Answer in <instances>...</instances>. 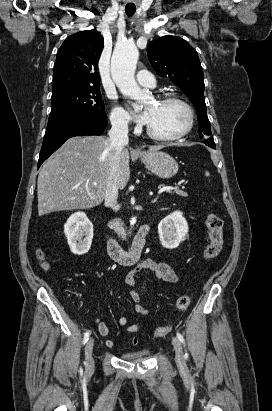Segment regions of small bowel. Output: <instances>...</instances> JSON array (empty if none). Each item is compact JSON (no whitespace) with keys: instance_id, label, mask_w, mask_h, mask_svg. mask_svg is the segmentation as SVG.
I'll return each mask as SVG.
<instances>
[{"instance_id":"obj_1","label":"small bowel","mask_w":272,"mask_h":411,"mask_svg":"<svg viewBox=\"0 0 272 411\" xmlns=\"http://www.w3.org/2000/svg\"><path fill=\"white\" fill-rule=\"evenodd\" d=\"M142 271L152 272L158 279L169 283H178L180 281L179 275L171 267V265L162 260L155 259H145L136 263L133 267L129 269L125 275L123 281L125 285L129 288V294L133 302L135 303L134 309L138 315L146 316L150 313V309L147 308L142 303V297L136 290V279L135 276ZM118 323L122 326L128 323V318L126 316H121L118 319ZM95 324L99 334L103 337H107L110 330L107 324L99 318L95 319ZM143 329V325L139 323L131 324L127 327V331L131 334H137ZM138 337L134 336L131 339V345L136 346L138 344ZM106 346L113 348L115 342L111 339L106 340Z\"/></svg>"}]
</instances>
